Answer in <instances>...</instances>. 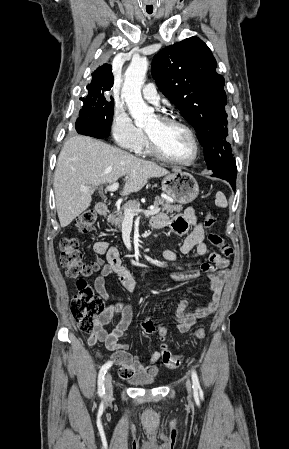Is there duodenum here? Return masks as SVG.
I'll list each match as a JSON object with an SVG mask.
<instances>
[{
    "label": "duodenum",
    "mask_w": 289,
    "mask_h": 449,
    "mask_svg": "<svg viewBox=\"0 0 289 449\" xmlns=\"http://www.w3.org/2000/svg\"><path fill=\"white\" fill-rule=\"evenodd\" d=\"M98 212H99L101 215H106V214H108L109 210H108V208H107L106 206H100V207L98 208Z\"/></svg>",
    "instance_id": "410a0bca"
}]
</instances>
